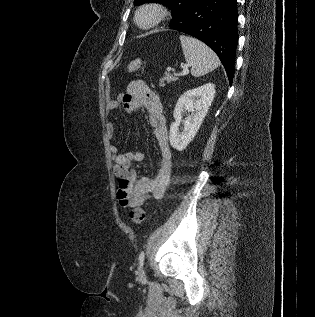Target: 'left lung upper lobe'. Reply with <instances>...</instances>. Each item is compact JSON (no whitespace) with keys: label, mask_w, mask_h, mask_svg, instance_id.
Wrapping results in <instances>:
<instances>
[{"label":"left lung upper lobe","mask_w":315,"mask_h":317,"mask_svg":"<svg viewBox=\"0 0 315 317\" xmlns=\"http://www.w3.org/2000/svg\"><path fill=\"white\" fill-rule=\"evenodd\" d=\"M147 2L161 3L169 7L172 11V20L170 25L179 22L186 12V9L194 2V0H134L135 5H140Z\"/></svg>","instance_id":"1"}]
</instances>
